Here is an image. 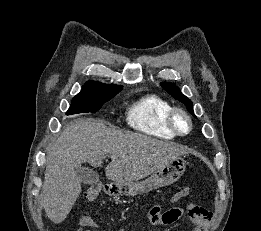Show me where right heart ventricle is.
Segmentation results:
<instances>
[{
	"instance_id": "1",
	"label": "right heart ventricle",
	"mask_w": 261,
	"mask_h": 231,
	"mask_svg": "<svg viewBox=\"0 0 261 231\" xmlns=\"http://www.w3.org/2000/svg\"><path fill=\"white\" fill-rule=\"evenodd\" d=\"M172 105L165 99L149 95L134 102L126 112L128 125L136 131L161 139H174L168 126Z\"/></svg>"
}]
</instances>
